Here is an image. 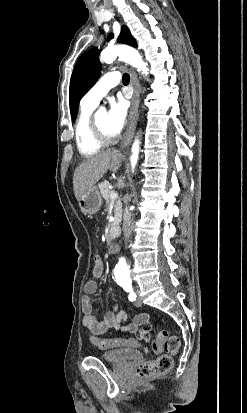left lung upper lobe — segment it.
Wrapping results in <instances>:
<instances>
[{"instance_id": "1", "label": "left lung upper lobe", "mask_w": 247, "mask_h": 413, "mask_svg": "<svg viewBox=\"0 0 247 413\" xmlns=\"http://www.w3.org/2000/svg\"><path fill=\"white\" fill-rule=\"evenodd\" d=\"M113 37L111 34L108 39ZM118 42L137 47V42L127 26H122ZM101 73L99 50L93 48L80 56L74 67L69 90V103L72 120H75L79 102L88 90L95 84Z\"/></svg>"}]
</instances>
